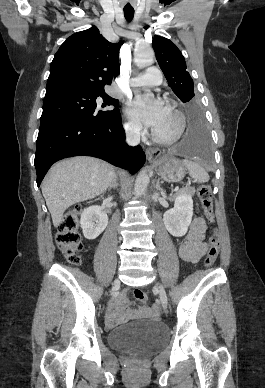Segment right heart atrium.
<instances>
[{
	"label": "right heart atrium",
	"mask_w": 265,
	"mask_h": 388,
	"mask_svg": "<svg viewBox=\"0 0 265 388\" xmlns=\"http://www.w3.org/2000/svg\"><path fill=\"white\" fill-rule=\"evenodd\" d=\"M127 130H128L130 135L135 136V137H139V136L143 135V133H144V129L141 126V124H139L135 121H129L127 123Z\"/></svg>",
	"instance_id": "d8ad5b80"
}]
</instances>
